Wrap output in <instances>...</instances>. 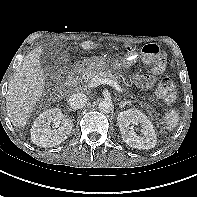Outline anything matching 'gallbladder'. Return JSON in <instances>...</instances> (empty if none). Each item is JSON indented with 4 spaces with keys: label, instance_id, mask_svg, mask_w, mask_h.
Returning <instances> with one entry per match:
<instances>
[{
    "label": "gallbladder",
    "instance_id": "obj_1",
    "mask_svg": "<svg viewBox=\"0 0 197 197\" xmlns=\"http://www.w3.org/2000/svg\"><path fill=\"white\" fill-rule=\"evenodd\" d=\"M50 50L44 49L40 55V61L44 66H50L49 64L52 62L50 60L52 53L49 52ZM54 51V50H53Z\"/></svg>",
    "mask_w": 197,
    "mask_h": 197
}]
</instances>
